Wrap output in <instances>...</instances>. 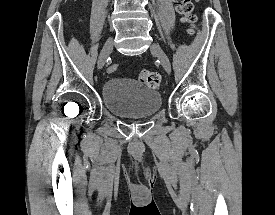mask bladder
<instances>
[{"label": "bladder", "mask_w": 275, "mask_h": 215, "mask_svg": "<svg viewBox=\"0 0 275 215\" xmlns=\"http://www.w3.org/2000/svg\"><path fill=\"white\" fill-rule=\"evenodd\" d=\"M102 101L113 115L147 118L159 111L161 94L142 82L111 78L102 86Z\"/></svg>", "instance_id": "bladder-1"}]
</instances>
